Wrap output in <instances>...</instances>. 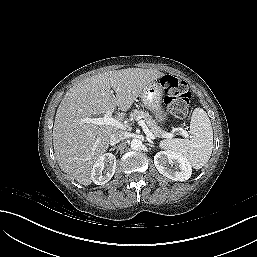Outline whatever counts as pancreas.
<instances>
[{"mask_svg":"<svg viewBox=\"0 0 257 257\" xmlns=\"http://www.w3.org/2000/svg\"><path fill=\"white\" fill-rule=\"evenodd\" d=\"M138 118H143L149 130L153 133L155 137H163L164 131L158 126L157 122L152 119V116L143 110H133L130 114V119L135 120Z\"/></svg>","mask_w":257,"mask_h":257,"instance_id":"pancreas-1","label":"pancreas"}]
</instances>
